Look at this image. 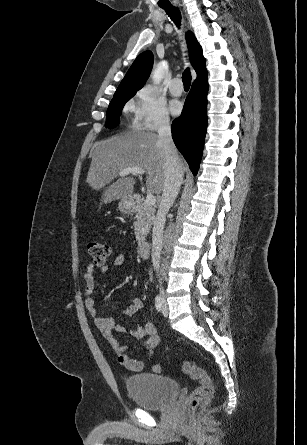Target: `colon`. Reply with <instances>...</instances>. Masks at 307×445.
<instances>
[{
  "label": "colon",
  "instance_id": "obj_1",
  "mask_svg": "<svg viewBox=\"0 0 307 445\" xmlns=\"http://www.w3.org/2000/svg\"><path fill=\"white\" fill-rule=\"evenodd\" d=\"M88 252L93 263L100 266L103 265L110 256L111 249L108 244L95 242L88 244ZM153 370L157 373L161 372V366L155 365ZM182 371L198 382V386L188 398L187 407L190 410L203 408L209 403L214 393V387L210 377L192 360H186L182 363Z\"/></svg>",
  "mask_w": 307,
  "mask_h": 445
}]
</instances>
